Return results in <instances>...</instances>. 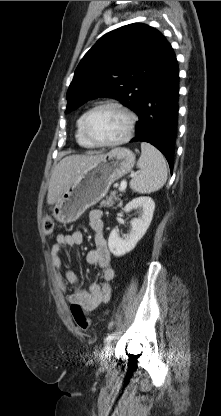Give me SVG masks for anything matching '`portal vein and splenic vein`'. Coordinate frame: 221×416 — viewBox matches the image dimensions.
I'll return each mask as SVG.
<instances>
[{
	"mask_svg": "<svg viewBox=\"0 0 221 416\" xmlns=\"http://www.w3.org/2000/svg\"><path fill=\"white\" fill-rule=\"evenodd\" d=\"M126 186H127V183H126V181L123 180L121 182L120 187H119V191L123 192L126 189Z\"/></svg>",
	"mask_w": 221,
	"mask_h": 416,
	"instance_id": "18ae733b",
	"label": "portal vein and splenic vein"
}]
</instances>
